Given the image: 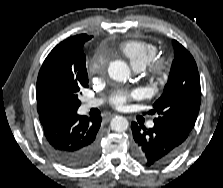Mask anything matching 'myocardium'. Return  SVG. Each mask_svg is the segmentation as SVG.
I'll use <instances>...</instances> for the list:
<instances>
[{
	"instance_id": "myocardium-1",
	"label": "myocardium",
	"mask_w": 223,
	"mask_h": 188,
	"mask_svg": "<svg viewBox=\"0 0 223 188\" xmlns=\"http://www.w3.org/2000/svg\"><path fill=\"white\" fill-rule=\"evenodd\" d=\"M170 70V63L164 58L154 59L149 63V73L156 79L165 78Z\"/></svg>"
}]
</instances>
